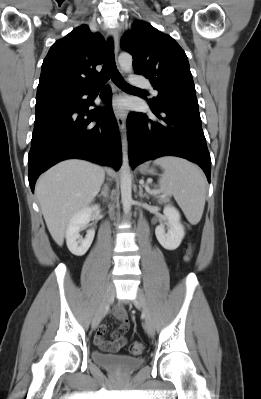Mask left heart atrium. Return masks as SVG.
<instances>
[{"instance_id":"1","label":"left heart atrium","mask_w":261,"mask_h":399,"mask_svg":"<svg viewBox=\"0 0 261 399\" xmlns=\"http://www.w3.org/2000/svg\"><path fill=\"white\" fill-rule=\"evenodd\" d=\"M118 105H119V106H122V103H119Z\"/></svg>"}]
</instances>
